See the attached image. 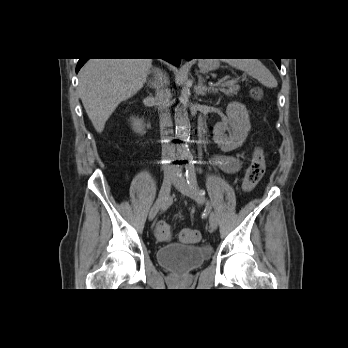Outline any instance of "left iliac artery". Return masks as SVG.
<instances>
[{"label": "left iliac artery", "instance_id": "1", "mask_svg": "<svg viewBox=\"0 0 348 348\" xmlns=\"http://www.w3.org/2000/svg\"><path fill=\"white\" fill-rule=\"evenodd\" d=\"M186 179L189 185L198 188L196 173L193 168L189 167L186 170Z\"/></svg>", "mask_w": 348, "mask_h": 348}]
</instances>
